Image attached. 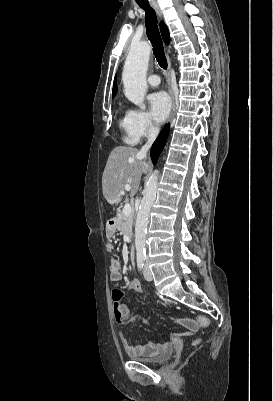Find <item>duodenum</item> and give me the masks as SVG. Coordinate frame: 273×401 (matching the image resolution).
<instances>
[{
	"mask_svg": "<svg viewBox=\"0 0 273 401\" xmlns=\"http://www.w3.org/2000/svg\"><path fill=\"white\" fill-rule=\"evenodd\" d=\"M113 224H114V220H111L110 221V226L112 227ZM128 255H129L130 262L134 263V261H135V248L133 246L129 249V254Z\"/></svg>",
	"mask_w": 273,
	"mask_h": 401,
	"instance_id": "duodenum-1",
	"label": "duodenum"
}]
</instances>
